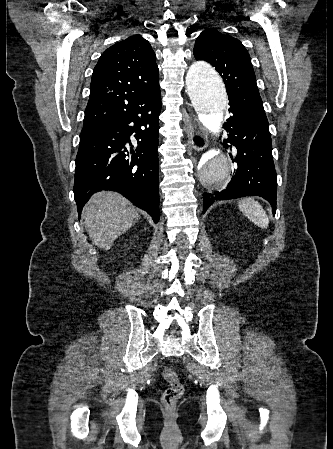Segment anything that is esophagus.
I'll return each instance as SVG.
<instances>
[{"mask_svg":"<svg viewBox=\"0 0 333 449\" xmlns=\"http://www.w3.org/2000/svg\"><path fill=\"white\" fill-rule=\"evenodd\" d=\"M187 136L188 140L195 150H202L207 145V137L203 131L199 119L191 114L187 122Z\"/></svg>","mask_w":333,"mask_h":449,"instance_id":"esophagus-1","label":"esophagus"}]
</instances>
